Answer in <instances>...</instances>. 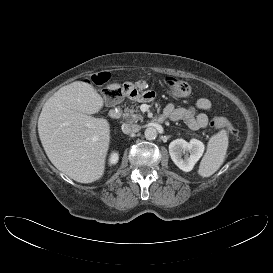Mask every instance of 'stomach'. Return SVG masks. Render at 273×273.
<instances>
[{
  "label": "stomach",
  "mask_w": 273,
  "mask_h": 273,
  "mask_svg": "<svg viewBox=\"0 0 273 273\" xmlns=\"http://www.w3.org/2000/svg\"><path fill=\"white\" fill-rule=\"evenodd\" d=\"M123 94L129 99L138 102H150L155 98L154 92L151 90L143 91V87H140L139 89L131 87Z\"/></svg>",
  "instance_id": "1"
}]
</instances>
